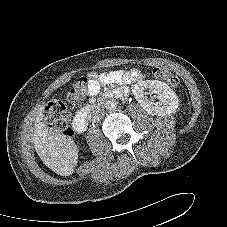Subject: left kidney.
Returning <instances> with one entry per match:
<instances>
[{
  "label": "left kidney",
  "mask_w": 227,
  "mask_h": 227,
  "mask_svg": "<svg viewBox=\"0 0 227 227\" xmlns=\"http://www.w3.org/2000/svg\"><path fill=\"white\" fill-rule=\"evenodd\" d=\"M147 89L156 94L158 102L148 99L145 92ZM132 92L140 106L152 115H170L179 106V99L175 92L166 83L158 80L139 81L134 85Z\"/></svg>",
  "instance_id": "left-kidney-1"
}]
</instances>
